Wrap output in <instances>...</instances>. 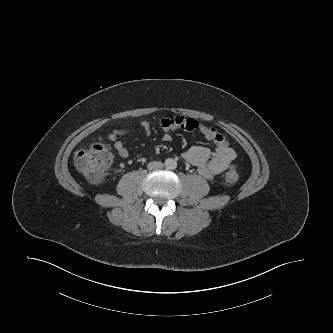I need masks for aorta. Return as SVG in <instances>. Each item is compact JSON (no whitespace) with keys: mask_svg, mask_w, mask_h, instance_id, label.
<instances>
[{"mask_svg":"<svg viewBox=\"0 0 333 333\" xmlns=\"http://www.w3.org/2000/svg\"><path fill=\"white\" fill-rule=\"evenodd\" d=\"M165 166L169 170H174L177 167V163L174 159L169 158L165 161Z\"/></svg>","mask_w":333,"mask_h":333,"instance_id":"obj_1","label":"aorta"}]
</instances>
